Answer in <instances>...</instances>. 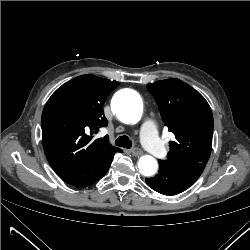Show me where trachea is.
<instances>
[{"label":"trachea","instance_id":"1","mask_svg":"<svg viewBox=\"0 0 250 250\" xmlns=\"http://www.w3.org/2000/svg\"><path fill=\"white\" fill-rule=\"evenodd\" d=\"M115 145L130 149L132 147V142L127 136L123 135L116 139Z\"/></svg>","mask_w":250,"mask_h":250}]
</instances>
